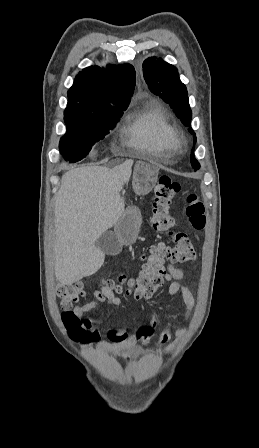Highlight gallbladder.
Masks as SVG:
<instances>
[{"label":"gallbladder","instance_id":"bac80fb5","mask_svg":"<svg viewBox=\"0 0 259 448\" xmlns=\"http://www.w3.org/2000/svg\"><path fill=\"white\" fill-rule=\"evenodd\" d=\"M95 248H98L107 256H117L122 250V244L114 232H104L95 242Z\"/></svg>","mask_w":259,"mask_h":448}]
</instances>
